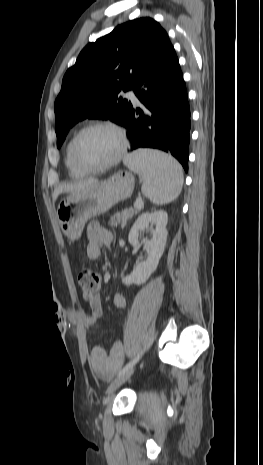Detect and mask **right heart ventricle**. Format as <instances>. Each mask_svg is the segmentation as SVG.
<instances>
[{"label":"right heart ventricle","mask_w":263,"mask_h":465,"mask_svg":"<svg viewBox=\"0 0 263 465\" xmlns=\"http://www.w3.org/2000/svg\"><path fill=\"white\" fill-rule=\"evenodd\" d=\"M72 140H73V137L68 141L66 145L64 162H65V166H66L69 176L75 179H79V178L84 177L86 173L80 171L73 163V160L71 157Z\"/></svg>","instance_id":"e07e8e85"}]
</instances>
